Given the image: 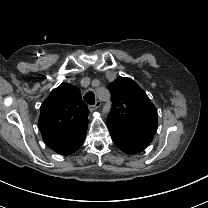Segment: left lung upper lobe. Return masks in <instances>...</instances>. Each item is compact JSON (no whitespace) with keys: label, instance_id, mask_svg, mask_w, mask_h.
<instances>
[{"label":"left lung upper lobe","instance_id":"obj_1","mask_svg":"<svg viewBox=\"0 0 208 208\" xmlns=\"http://www.w3.org/2000/svg\"><path fill=\"white\" fill-rule=\"evenodd\" d=\"M112 109L107 121L136 129L149 142L157 130V111L141 87L130 78L119 77L108 85Z\"/></svg>","mask_w":208,"mask_h":208}]
</instances>
